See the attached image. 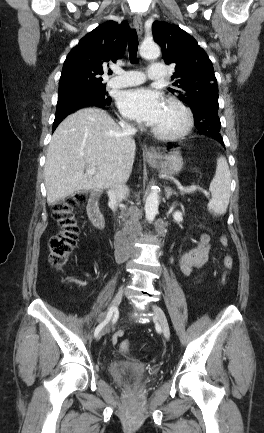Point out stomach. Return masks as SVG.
I'll return each mask as SVG.
<instances>
[{"label":"stomach","instance_id":"stomach-1","mask_svg":"<svg viewBox=\"0 0 264 433\" xmlns=\"http://www.w3.org/2000/svg\"><path fill=\"white\" fill-rule=\"evenodd\" d=\"M154 168H159L165 174L174 175L181 171L183 159L179 151L158 155L156 160H148Z\"/></svg>","mask_w":264,"mask_h":433}]
</instances>
